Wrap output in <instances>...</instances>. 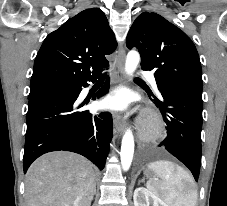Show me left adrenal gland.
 Segmentation results:
<instances>
[{"label":"left adrenal gland","mask_w":227,"mask_h":206,"mask_svg":"<svg viewBox=\"0 0 227 206\" xmlns=\"http://www.w3.org/2000/svg\"><path fill=\"white\" fill-rule=\"evenodd\" d=\"M141 182H144V178H143L142 180H140V181L138 182V184H140Z\"/></svg>","instance_id":"a2214340"}]
</instances>
